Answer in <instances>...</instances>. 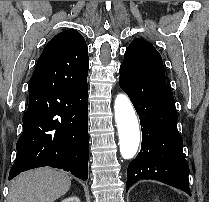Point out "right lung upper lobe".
<instances>
[{
	"instance_id": "1",
	"label": "right lung upper lobe",
	"mask_w": 209,
	"mask_h": 202,
	"mask_svg": "<svg viewBox=\"0 0 209 202\" xmlns=\"http://www.w3.org/2000/svg\"><path fill=\"white\" fill-rule=\"evenodd\" d=\"M38 60H53L52 70L68 76L73 82L87 80L89 69L87 44L77 31L66 30L55 35Z\"/></svg>"
}]
</instances>
